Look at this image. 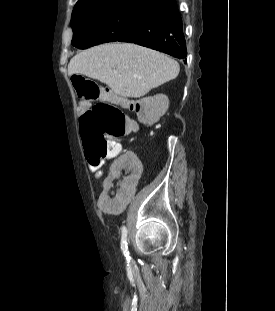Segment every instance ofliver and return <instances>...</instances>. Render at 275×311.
Here are the masks:
<instances>
[{"mask_svg": "<svg viewBox=\"0 0 275 311\" xmlns=\"http://www.w3.org/2000/svg\"><path fill=\"white\" fill-rule=\"evenodd\" d=\"M177 61L160 53L131 43L103 44L74 56L68 74H82L108 85L123 97L146 95L179 74Z\"/></svg>", "mask_w": 275, "mask_h": 311, "instance_id": "1", "label": "liver"}]
</instances>
